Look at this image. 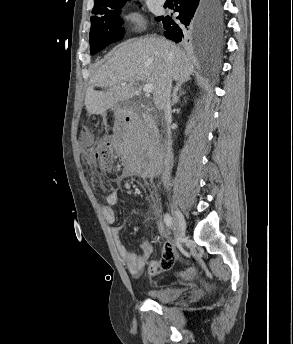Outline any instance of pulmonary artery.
<instances>
[{
    "instance_id": "obj_1",
    "label": "pulmonary artery",
    "mask_w": 293,
    "mask_h": 344,
    "mask_svg": "<svg viewBox=\"0 0 293 344\" xmlns=\"http://www.w3.org/2000/svg\"><path fill=\"white\" fill-rule=\"evenodd\" d=\"M166 0H155L156 3L158 4H164Z\"/></svg>"
}]
</instances>
